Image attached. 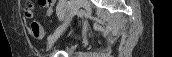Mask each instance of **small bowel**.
Masks as SVG:
<instances>
[{"mask_svg":"<svg viewBox=\"0 0 172 57\" xmlns=\"http://www.w3.org/2000/svg\"><path fill=\"white\" fill-rule=\"evenodd\" d=\"M39 3L43 6V8L45 9L44 11V17H48L52 14L53 12V6L55 4V0H39ZM28 5V4H27ZM27 5L25 6V8L27 7ZM34 15V10H32L31 13L26 12L25 10V16L30 18L33 17ZM43 37V35H42ZM41 37V38H42Z\"/></svg>","mask_w":172,"mask_h":57,"instance_id":"obj_1","label":"small bowel"}]
</instances>
